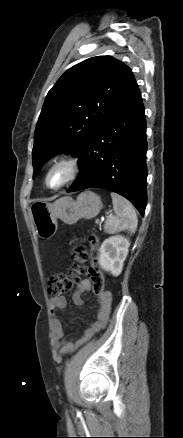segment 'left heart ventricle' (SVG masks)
Masks as SVG:
<instances>
[{"instance_id": "left-heart-ventricle-1", "label": "left heart ventricle", "mask_w": 183, "mask_h": 438, "mask_svg": "<svg viewBox=\"0 0 183 438\" xmlns=\"http://www.w3.org/2000/svg\"><path fill=\"white\" fill-rule=\"evenodd\" d=\"M68 176V171L63 166L52 169L48 176V184L52 187L60 185Z\"/></svg>"}]
</instances>
